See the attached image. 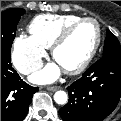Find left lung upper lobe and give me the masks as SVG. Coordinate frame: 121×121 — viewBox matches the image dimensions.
<instances>
[{"label":"left lung upper lobe","mask_w":121,"mask_h":121,"mask_svg":"<svg viewBox=\"0 0 121 121\" xmlns=\"http://www.w3.org/2000/svg\"><path fill=\"white\" fill-rule=\"evenodd\" d=\"M108 55H121V46L116 38L109 30L106 32V39L104 42L103 57Z\"/></svg>","instance_id":"5c2ea615"}]
</instances>
